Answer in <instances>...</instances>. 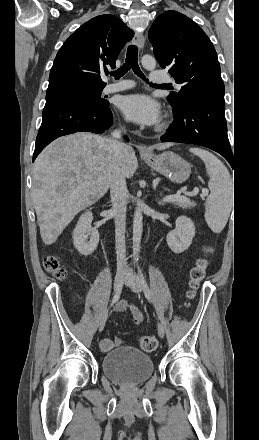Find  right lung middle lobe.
Here are the masks:
<instances>
[{"label": "right lung middle lobe", "instance_id": "obj_1", "mask_svg": "<svg viewBox=\"0 0 259 440\" xmlns=\"http://www.w3.org/2000/svg\"><path fill=\"white\" fill-rule=\"evenodd\" d=\"M103 88H87L75 87L59 92L46 94V102L51 100L67 99V98H84L93 100L99 104H107L108 101L101 98Z\"/></svg>", "mask_w": 259, "mask_h": 440}]
</instances>
